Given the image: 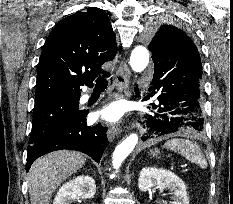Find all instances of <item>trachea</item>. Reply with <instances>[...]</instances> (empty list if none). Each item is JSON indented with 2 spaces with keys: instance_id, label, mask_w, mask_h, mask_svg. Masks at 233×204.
<instances>
[{
  "instance_id": "obj_1",
  "label": "trachea",
  "mask_w": 233,
  "mask_h": 204,
  "mask_svg": "<svg viewBox=\"0 0 233 204\" xmlns=\"http://www.w3.org/2000/svg\"><path fill=\"white\" fill-rule=\"evenodd\" d=\"M107 85L108 81L105 78L100 77L96 80L95 89H105Z\"/></svg>"
}]
</instances>
